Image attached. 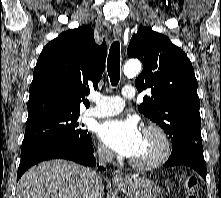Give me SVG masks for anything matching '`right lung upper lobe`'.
<instances>
[{
  "label": "right lung upper lobe",
  "instance_id": "cb5924a9",
  "mask_svg": "<svg viewBox=\"0 0 221 198\" xmlns=\"http://www.w3.org/2000/svg\"><path fill=\"white\" fill-rule=\"evenodd\" d=\"M106 61L105 40L96 45L88 26L61 33L42 50L30 85L27 122L41 117L80 112L85 95L97 88Z\"/></svg>",
  "mask_w": 221,
  "mask_h": 198
}]
</instances>
